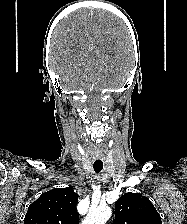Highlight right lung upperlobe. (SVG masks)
I'll list each match as a JSON object with an SVG mask.
<instances>
[{
    "label": "right lung upper lobe",
    "mask_w": 187,
    "mask_h": 224,
    "mask_svg": "<svg viewBox=\"0 0 187 224\" xmlns=\"http://www.w3.org/2000/svg\"><path fill=\"white\" fill-rule=\"evenodd\" d=\"M78 195L70 188H55L30 204L25 224H79Z\"/></svg>",
    "instance_id": "obj_1"
}]
</instances>
